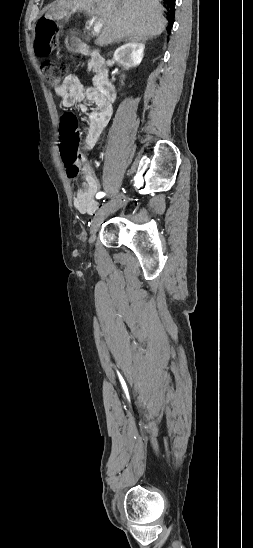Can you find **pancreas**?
<instances>
[{
    "instance_id": "cf45deb5",
    "label": "pancreas",
    "mask_w": 253,
    "mask_h": 548,
    "mask_svg": "<svg viewBox=\"0 0 253 548\" xmlns=\"http://www.w3.org/2000/svg\"><path fill=\"white\" fill-rule=\"evenodd\" d=\"M88 69H89V71H93L94 73L98 72V68H97L96 64L93 61L88 63ZM96 80H97V76H95L93 78V82H95Z\"/></svg>"
}]
</instances>
